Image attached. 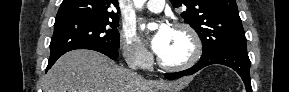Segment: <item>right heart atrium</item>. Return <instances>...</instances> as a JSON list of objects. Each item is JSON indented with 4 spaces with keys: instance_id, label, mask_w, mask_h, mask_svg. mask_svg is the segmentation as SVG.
<instances>
[{
    "instance_id": "obj_1",
    "label": "right heart atrium",
    "mask_w": 289,
    "mask_h": 92,
    "mask_svg": "<svg viewBox=\"0 0 289 92\" xmlns=\"http://www.w3.org/2000/svg\"><path fill=\"white\" fill-rule=\"evenodd\" d=\"M121 50L125 59L134 66L146 67L151 55L132 27H124L120 36Z\"/></svg>"
}]
</instances>
